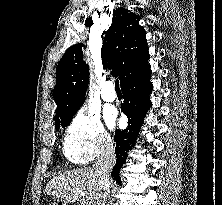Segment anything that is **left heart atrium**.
Instances as JSON below:
<instances>
[{
    "mask_svg": "<svg viewBox=\"0 0 222 205\" xmlns=\"http://www.w3.org/2000/svg\"><path fill=\"white\" fill-rule=\"evenodd\" d=\"M106 121L109 126H113L116 120V113L114 110L107 111L105 115Z\"/></svg>",
    "mask_w": 222,
    "mask_h": 205,
    "instance_id": "left-heart-atrium-1",
    "label": "left heart atrium"
}]
</instances>
